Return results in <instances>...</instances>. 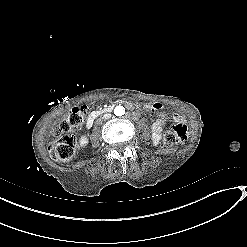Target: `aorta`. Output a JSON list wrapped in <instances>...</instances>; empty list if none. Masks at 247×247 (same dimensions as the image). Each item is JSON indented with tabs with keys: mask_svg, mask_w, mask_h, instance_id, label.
I'll return each instance as SVG.
<instances>
[{
	"mask_svg": "<svg viewBox=\"0 0 247 247\" xmlns=\"http://www.w3.org/2000/svg\"><path fill=\"white\" fill-rule=\"evenodd\" d=\"M125 113V108L123 106H116L115 109H114V114L116 116H122L124 115Z\"/></svg>",
	"mask_w": 247,
	"mask_h": 247,
	"instance_id": "aorta-1",
	"label": "aorta"
}]
</instances>
